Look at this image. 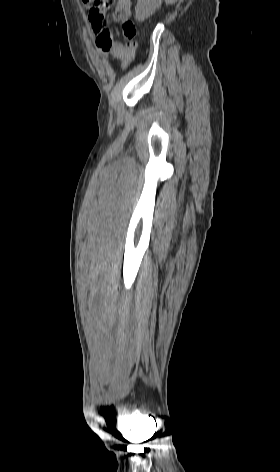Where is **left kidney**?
Returning a JSON list of instances; mask_svg holds the SVG:
<instances>
[{
	"label": "left kidney",
	"instance_id": "1",
	"mask_svg": "<svg viewBox=\"0 0 280 472\" xmlns=\"http://www.w3.org/2000/svg\"><path fill=\"white\" fill-rule=\"evenodd\" d=\"M159 0H138L135 7V17L138 21H144L153 14L156 8L159 7Z\"/></svg>",
	"mask_w": 280,
	"mask_h": 472
}]
</instances>
